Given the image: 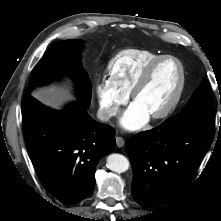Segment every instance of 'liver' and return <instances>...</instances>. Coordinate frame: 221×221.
<instances>
[{
    "mask_svg": "<svg viewBox=\"0 0 221 221\" xmlns=\"http://www.w3.org/2000/svg\"><path fill=\"white\" fill-rule=\"evenodd\" d=\"M33 96L43 104L56 109L60 108L61 104L69 98L66 92L54 87L37 90Z\"/></svg>",
    "mask_w": 221,
    "mask_h": 221,
    "instance_id": "liver-1",
    "label": "liver"
}]
</instances>
